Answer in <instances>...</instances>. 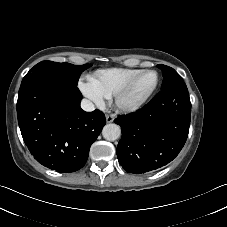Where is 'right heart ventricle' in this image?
<instances>
[{
	"instance_id": "e07e8e85",
	"label": "right heart ventricle",
	"mask_w": 227,
	"mask_h": 227,
	"mask_svg": "<svg viewBox=\"0 0 227 227\" xmlns=\"http://www.w3.org/2000/svg\"><path fill=\"white\" fill-rule=\"evenodd\" d=\"M137 68H108L96 71L89 77V83L105 98H110L135 74Z\"/></svg>"
}]
</instances>
